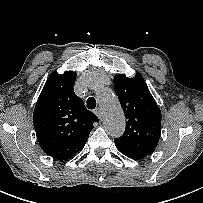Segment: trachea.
I'll return each mask as SVG.
<instances>
[{"label": "trachea", "instance_id": "trachea-1", "mask_svg": "<svg viewBox=\"0 0 203 203\" xmlns=\"http://www.w3.org/2000/svg\"><path fill=\"white\" fill-rule=\"evenodd\" d=\"M87 108L88 109H95L96 108V100L93 97H89L87 99Z\"/></svg>", "mask_w": 203, "mask_h": 203}]
</instances>
